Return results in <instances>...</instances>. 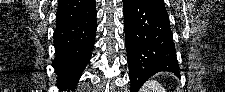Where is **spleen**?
Masks as SVG:
<instances>
[{
	"mask_svg": "<svg viewBox=\"0 0 225 92\" xmlns=\"http://www.w3.org/2000/svg\"><path fill=\"white\" fill-rule=\"evenodd\" d=\"M140 92H166L165 88L155 80L149 79L141 87Z\"/></svg>",
	"mask_w": 225,
	"mask_h": 92,
	"instance_id": "spleen-1",
	"label": "spleen"
}]
</instances>
